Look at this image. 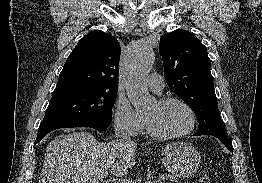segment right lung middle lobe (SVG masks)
<instances>
[{
    "label": "right lung middle lobe",
    "instance_id": "right-lung-middle-lobe-1",
    "mask_svg": "<svg viewBox=\"0 0 262 183\" xmlns=\"http://www.w3.org/2000/svg\"><path fill=\"white\" fill-rule=\"evenodd\" d=\"M117 91L85 88L53 92L43 122L55 120L111 122Z\"/></svg>",
    "mask_w": 262,
    "mask_h": 183
}]
</instances>
